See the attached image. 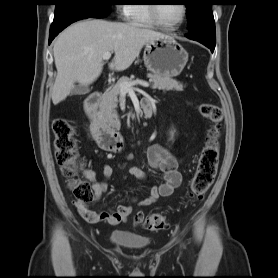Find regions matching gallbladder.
Here are the masks:
<instances>
[{
	"instance_id": "bac80fb5",
	"label": "gallbladder",
	"mask_w": 278,
	"mask_h": 278,
	"mask_svg": "<svg viewBox=\"0 0 278 278\" xmlns=\"http://www.w3.org/2000/svg\"><path fill=\"white\" fill-rule=\"evenodd\" d=\"M90 92V89L88 86H83V85H77L73 88L71 91L72 95H85Z\"/></svg>"
}]
</instances>
